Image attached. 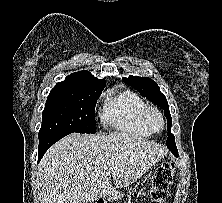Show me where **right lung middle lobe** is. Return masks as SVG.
<instances>
[{"label": "right lung middle lobe", "mask_w": 222, "mask_h": 203, "mask_svg": "<svg viewBox=\"0 0 222 203\" xmlns=\"http://www.w3.org/2000/svg\"><path fill=\"white\" fill-rule=\"evenodd\" d=\"M102 91L52 89L42 113L39 139L51 135L96 133L95 105Z\"/></svg>", "instance_id": "1"}]
</instances>
